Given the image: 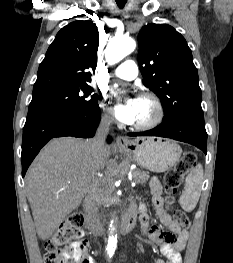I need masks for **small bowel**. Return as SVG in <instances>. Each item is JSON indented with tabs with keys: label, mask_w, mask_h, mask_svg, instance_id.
Masks as SVG:
<instances>
[{
	"label": "small bowel",
	"mask_w": 233,
	"mask_h": 263,
	"mask_svg": "<svg viewBox=\"0 0 233 263\" xmlns=\"http://www.w3.org/2000/svg\"><path fill=\"white\" fill-rule=\"evenodd\" d=\"M150 189L156 215L167 229L166 231L159 227L150 226L146 208L143 205L140 206L142 232L148 240L160 246V250L166 258L165 260L156 259L154 263H182L181 253L189 237V233L187 230L182 229L168 212L167 205L162 196V188L157 178L154 177L151 179ZM88 263H95V260L89 257Z\"/></svg>",
	"instance_id": "1"
}]
</instances>
